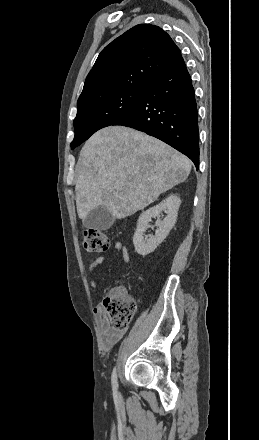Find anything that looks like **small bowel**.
<instances>
[{
	"instance_id": "small-bowel-1",
	"label": "small bowel",
	"mask_w": 259,
	"mask_h": 440,
	"mask_svg": "<svg viewBox=\"0 0 259 440\" xmlns=\"http://www.w3.org/2000/svg\"><path fill=\"white\" fill-rule=\"evenodd\" d=\"M115 249L119 254H121L125 263L130 262L129 252L124 243L120 241L116 242ZM104 261H105V257L103 256L94 258L88 266V273L92 275L95 269ZM89 283L93 289L94 294L97 295L98 294L97 282L93 278H90ZM93 311L98 323L101 346L103 350L108 351L123 337L125 330L124 329L118 330L110 325V323L106 318L105 310L102 304H98Z\"/></svg>"
}]
</instances>
